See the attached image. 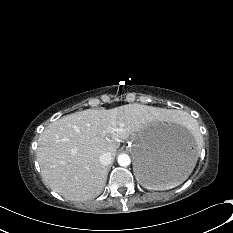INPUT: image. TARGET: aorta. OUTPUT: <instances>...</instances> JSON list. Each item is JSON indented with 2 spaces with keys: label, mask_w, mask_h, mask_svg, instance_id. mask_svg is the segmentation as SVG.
<instances>
[{
  "label": "aorta",
  "mask_w": 233,
  "mask_h": 233,
  "mask_svg": "<svg viewBox=\"0 0 233 233\" xmlns=\"http://www.w3.org/2000/svg\"><path fill=\"white\" fill-rule=\"evenodd\" d=\"M118 164L122 167L130 165L131 159L127 154H120L117 158Z\"/></svg>",
  "instance_id": "1"
}]
</instances>
